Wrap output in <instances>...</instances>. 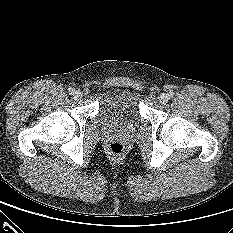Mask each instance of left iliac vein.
<instances>
[{"instance_id": "4c4485c4", "label": "left iliac vein", "mask_w": 233, "mask_h": 233, "mask_svg": "<svg viewBox=\"0 0 233 233\" xmlns=\"http://www.w3.org/2000/svg\"><path fill=\"white\" fill-rule=\"evenodd\" d=\"M158 99H159V102H160L161 104H166V103L168 102V100H169V97H168L167 94L161 93V94L159 95Z\"/></svg>"}]
</instances>
